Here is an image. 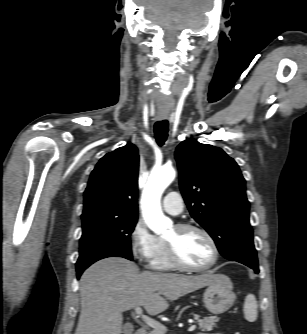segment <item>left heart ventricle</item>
<instances>
[{
	"instance_id": "left-heart-ventricle-1",
	"label": "left heart ventricle",
	"mask_w": 307,
	"mask_h": 334,
	"mask_svg": "<svg viewBox=\"0 0 307 334\" xmlns=\"http://www.w3.org/2000/svg\"><path fill=\"white\" fill-rule=\"evenodd\" d=\"M166 241L173 243L181 259L191 266H203L212 258V248L205 236L196 231H179L175 227Z\"/></svg>"
}]
</instances>
